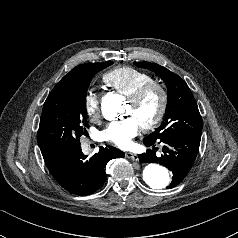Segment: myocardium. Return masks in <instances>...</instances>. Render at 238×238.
Listing matches in <instances>:
<instances>
[{
	"instance_id": "1",
	"label": "myocardium",
	"mask_w": 238,
	"mask_h": 238,
	"mask_svg": "<svg viewBox=\"0 0 238 238\" xmlns=\"http://www.w3.org/2000/svg\"><path fill=\"white\" fill-rule=\"evenodd\" d=\"M157 92L159 95V105L156 114L147 122L140 125L144 131L151 130L156 127L163 119L168 105V93L163 84L157 81H149L138 88L130 97H128V103L133 106H139L143 100L151 92Z\"/></svg>"
}]
</instances>
